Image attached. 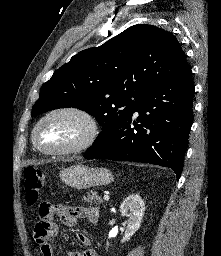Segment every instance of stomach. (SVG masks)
I'll return each mask as SVG.
<instances>
[{
  "label": "stomach",
  "instance_id": "0dacf381",
  "mask_svg": "<svg viewBox=\"0 0 221 256\" xmlns=\"http://www.w3.org/2000/svg\"><path fill=\"white\" fill-rule=\"evenodd\" d=\"M60 179L74 189H88L91 187L108 185L114 177L106 168H90L77 164L60 171Z\"/></svg>",
  "mask_w": 221,
  "mask_h": 256
}]
</instances>
